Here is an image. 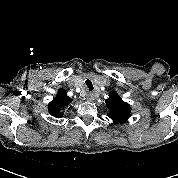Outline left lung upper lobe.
I'll return each mask as SVG.
<instances>
[{"mask_svg":"<svg viewBox=\"0 0 178 178\" xmlns=\"http://www.w3.org/2000/svg\"><path fill=\"white\" fill-rule=\"evenodd\" d=\"M105 102L109 108L108 117L115 123L124 122L130 117V105L124 102L116 92L111 93Z\"/></svg>","mask_w":178,"mask_h":178,"instance_id":"obj_1","label":"left lung upper lobe"}]
</instances>
